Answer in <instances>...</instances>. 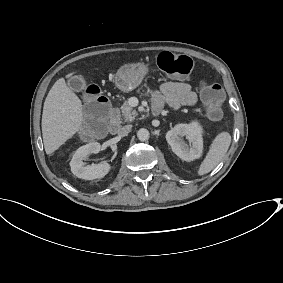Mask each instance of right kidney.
<instances>
[{
  "label": "right kidney",
  "instance_id": "obj_1",
  "mask_svg": "<svg viewBox=\"0 0 283 283\" xmlns=\"http://www.w3.org/2000/svg\"><path fill=\"white\" fill-rule=\"evenodd\" d=\"M100 149L101 145L98 142H92L78 148L70 161L71 172L78 178L85 180L103 178L110 170L108 163L85 166L83 162L90 154L98 153Z\"/></svg>",
  "mask_w": 283,
  "mask_h": 283
}]
</instances>
